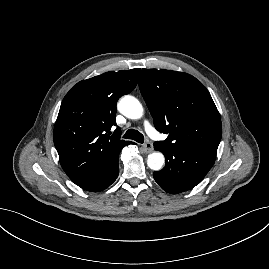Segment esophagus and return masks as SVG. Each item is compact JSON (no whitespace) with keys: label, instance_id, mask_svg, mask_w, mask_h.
<instances>
[{"label":"esophagus","instance_id":"esophagus-1","mask_svg":"<svg viewBox=\"0 0 269 269\" xmlns=\"http://www.w3.org/2000/svg\"><path fill=\"white\" fill-rule=\"evenodd\" d=\"M143 149H144V151L146 152V153H150V152H152L153 151V145H152V143L151 142H146V143H144L143 144Z\"/></svg>","mask_w":269,"mask_h":269}]
</instances>
